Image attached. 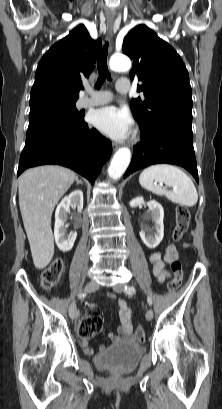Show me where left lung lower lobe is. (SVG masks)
<instances>
[{
    "label": "left lung lower lobe",
    "mask_w": 222,
    "mask_h": 409,
    "mask_svg": "<svg viewBox=\"0 0 222 409\" xmlns=\"http://www.w3.org/2000/svg\"><path fill=\"white\" fill-rule=\"evenodd\" d=\"M142 142L133 148V157L124 178L152 164L168 163L187 169L198 182L197 163L190 123L177 118L141 126Z\"/></svg>",
    "instance_id": "0a47b994"
}]
</instances>
